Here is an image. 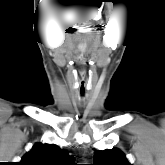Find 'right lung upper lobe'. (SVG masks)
Instances as JSON below:
<instances>
[{
    "label": "right lung upper lobe",
    "mask_w": 165,
    "mask_h": 165,
    "mask_svg": "<svg viewBox=\"0 0 165 165\" xmlns=\"http://www.w3.org/2000/svg\"><path fill=\"white\" fill-rule=\"evenodd\" d=\"M19 165H77L74 158L54 144L36 143Z\"/></svg>",
    "instance_id": "cb5924a9"
}]
</instances>
